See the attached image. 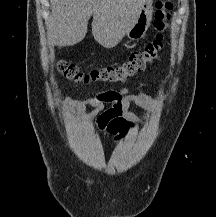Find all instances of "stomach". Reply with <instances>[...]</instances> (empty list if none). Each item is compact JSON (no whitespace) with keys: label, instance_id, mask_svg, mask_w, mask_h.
<instances>
[{"label":"stomach","instance_id":"obj_1","mask_svg":"<svg viewBox=\"0 0 216 217\" xmlns=\"http://www.w3.org/2000/svg\"><path fill=\"white\" fill-rule=\"evenodd\" d=\"M152 3L153 0H145L139 15L134 20L129 30L125 33L130 40H139L145 36L152 20Z\"/></svg>","mask_w":216,"mask_h":217}]
</instances>
